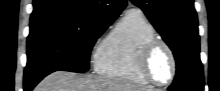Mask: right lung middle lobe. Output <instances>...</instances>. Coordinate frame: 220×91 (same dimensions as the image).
I'll use <instances>...</instances> for the list:
<instances>
[{"mask_svg":"<svg viewBox=\"0 0 220 91\" xmlns=\"http://www.w3.org/2000/svg\"><path fill=\"white\" fill-rule=\"evenodd\" d=\"M110 25L53 20L30 25L24 81L57 71L85 72L97 38Z\"/></svg>","mask_w":220,"mask_h":91,"instance_id":"right-lung-middle-lobe-1","label":"right lung middle lobe"}]
</instances>
